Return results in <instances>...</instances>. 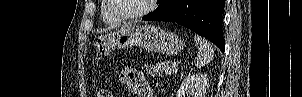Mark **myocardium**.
<instances>
[{
	"instance_id": "myocardium-1",
	"label": "myocardium",
	"mask_w": 302,
	"mask_h": 97,
	"mask_svg": "<svg viewBox=\"0 0 302 97\" xmlns=\"http://www.w3.org/2000/svg\"><path fill=\"white\" fill-rule=\"evenodd\" d=\"M106 1L108 2L111 13L121 21H132L145 17L146 15H148L150 12L153 11L156 2V0H148V4L143 10L135 14L124 15L117 11L116 6L114 4V0H106Z\"/></svg>"
}]
</instances>
